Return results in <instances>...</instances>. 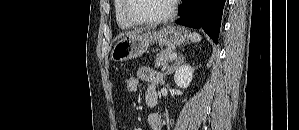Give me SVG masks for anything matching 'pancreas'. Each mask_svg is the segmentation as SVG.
Wrapping results in <instances>:
<instances>
[{"instance_id": "cf45deb5", "label": "pancreas", "mask_w": 299, "mask_h": 130, "mask_svg": "<svg viewBox=\"0 0 299 130\" xmlns=\"http://www.w3.org/2000/svg\"><path fill=\"white\" fill-rule=\"evenodd\" d=\"M172 54L173 51L171 49H165L157 53L155 67H166L168 70L174 68V63L170 59Z\"/></svg>"}]
</instances>
